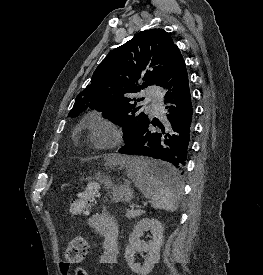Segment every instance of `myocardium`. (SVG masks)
<instances>
[{
  "label": "myocardium",
  "mask_w": 263,
  "mask_h": 275,
  "mask_svg": "<svg viewBox=\"0 0 263 275\" xmlns=\"http://www.w3.org/2000/svg\"><path fill=\"white\" fill-rule=\"evenodd\" d=\"M118 137L117 126L102 114H94L85 121L83 138L93 146L112 147Z\"/></svg>",
  "instance_id": "obj_1"
}]
</instances>
